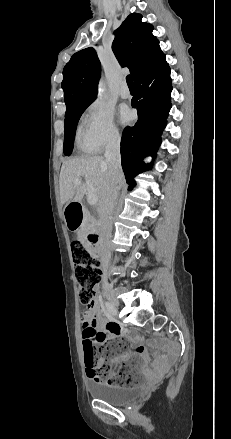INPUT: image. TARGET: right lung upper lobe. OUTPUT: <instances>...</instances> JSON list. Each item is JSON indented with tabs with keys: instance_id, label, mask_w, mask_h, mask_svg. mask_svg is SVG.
<instances>
[{
	"instance_id": "obj_1",
	"label": "right lung upper lobe",
	"mask_w": 231,
	"mask_h": 439,
	"mask_svg": "<svg viewBox=\"0 0 231 439\" xmlns=\"http://www.w3.org/2000/svg\"><path fill=\"white\" fill-rule=\"evenodd\" d=\"M142 16L130 14L115 30L112 50L121 67H128L135 79L155 66L165 55L153 36L154 27L141 21ZM101 66L92 47L75 53L63 70L61 87L64 91L66 110L93 102L97 96V85Z\"/></svg>"
}]
</instances>
